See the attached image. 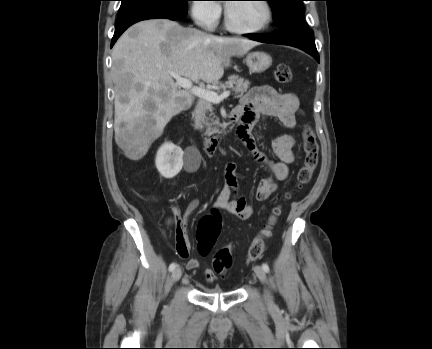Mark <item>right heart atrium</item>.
<instances>
[{
	"label": "right heart atrium",
	"mask_w": 432,
	"mask_h": 349,
	"mask_svg": "<svg viewBox=\"0 0 432 349\" xmlns=\"http://www.w3.org/2000/svg\"><path fill=\"white\" fill-rule=\"evenodd\" d=\"M193 19L206 28L215 27L221 17V6L214 0H193L190 6Z\"/></svg>",
	"instance_id": "right-heart-atrium-1"
}]
</instances>
